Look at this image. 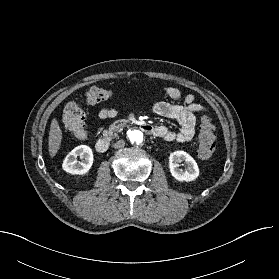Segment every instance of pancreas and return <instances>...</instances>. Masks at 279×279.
<instances>
[{
	"mask_svg": "<svg viewBox=\"0 0 279 279\" xmlns=\"http://www.w3.org/2000/svg\"><path fill=\"white\" fill-rule=\"evenodd\" d=\"M124 126L123 123H119V122H114L110 125L108 130H104L103 131V136L108 138V139H112L114 137H118L117 132L121 131V128Z\"/></svg>",
	"mask_w": 279,
	"mask_h": 279,
	"instance_id": "obj_1",
	"label": "pancreas"
}]
</instances>
